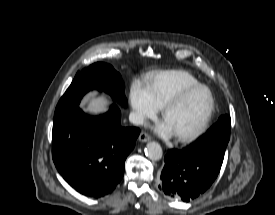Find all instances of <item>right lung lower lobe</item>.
Returning a JSON list of instances; mask_svg holds the SVG:
<instances>
[{"label": "right lung lower lobe", "mask_w": 275, "mask_h": 215, "mask_svg": "<svg viewBox=\"0 0 275 215\" xmlns=\"http://www.w3.org/2000/svg\"><path fill=\"white\" fill-rule=\"evenodd\" d=\"M114 104L100 116L80 108L54 115L52 157L58 172L79 193L102 197L111 193L124 175V164L140 129L122 127Z\"/></svg>", "instance_id": "1"}]
</instances>
